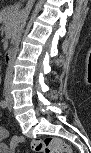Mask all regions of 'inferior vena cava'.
I'll use <instances>...</instances> for the list:
<instances>
[{
	"instance_id": "inferior-vena-cava-1",
	"label": "inferior vena cava",
	"mask_w": 91,
	"mask_h": 153,
	"mask_svg": "<svg viewBox=\"0 0 91 153\" xmlns=\"http://www.w3.org/2000/svg\"><path fill=\"white\" fill-rule=\"evenodd\" d=\"M33 3H34V0H28V3L26 5V8L21 12V15H20V22H21V27L18 29V35L15 36L16 40H15V44L13 45V53H19V50H20V45H19V42H20V37H21V32H22V29L26 23V20L29 16V13L32 9V6H33ZM11 60H9L8 62V69H7V72H6V76H5V81H4V86H5V90L8 92V97L10 98V88H11V85H12V78H13V68H14V63H15V60H16V57L18 56L17 54H12L11 55Z\"/></svg>"
}]
</instances>
